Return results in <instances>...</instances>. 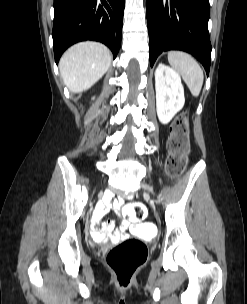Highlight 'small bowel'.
<instances>
[{
  "instance_id": "1",
  "label": "small bowel",
  "mask_w": 247,
  "mask_h": 304,
  "mask_svg": "<svg viewBox=\"0 0 247 304\" xmlns=\"http://www.w3.org/2000/svg\"><path fill=\"white\" fill-rule=\"evenodd\" d=\"M111 196L106 194L104 201L101 202L95 211V214L92 219L90 237L94 242L103 243V242H114L124 237L127 230L131 228V224L128 220L124 219L121 221L119 229L115 230L112 234L110 231L114 227V222L109 220L106 222H101L103 215L107 213L110 208ZM120 203L116 202L113 207L115 210L119 208Z\"/></svg>"
}]
</instances>
